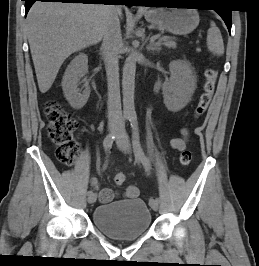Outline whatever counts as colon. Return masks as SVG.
I'll return each mask as SVG.
<instances>
[{"label": "colon", "instance_id": "5ec220e1", "mask_svg": "<svg viewBox=\"0 0 259 266\" xmlns=\"http://www.w3.org/2000/svg\"><path fill=\"white\" fill-rule=\"evenodd\" d=\"M217 71L209 67L205 71V83L203 92L194 110V116H202L211 102ZM44 114L48 125V136L51 142L56 146V155L60 162L65 165H72L80 155V148L75 139V130L77 121L65 110L57 101H49L44 107ZM192 154L189 150L180 153L179 162L182 166H188L191 163ZM117 185H123L126 181L124 173H117L114 177Z\"/></svg>", "mask_w": 259, "mask_h": 266}]
</instances>
